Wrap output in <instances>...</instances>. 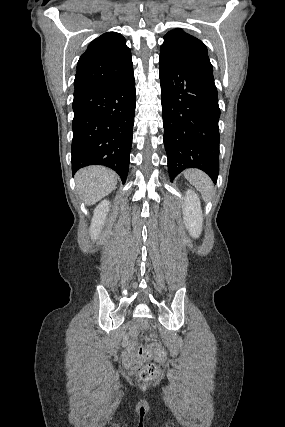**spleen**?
<instances>
[{"instance_id": "3e777b00", "label": "spleen", "mask_w": 285, "mask_h": 427, "mask_svg": "<svg viewBox=\"0 0 285 427\" xmlns=\"http://www.w3.org/2000/svg\"><path fill=\"white\" fill-rule=\"evenodd\" d=\"M184 176L201 193L204 200L210 199L213 184L204 172L197 169H189L184 172Z\"/></svg>"}]
</instances>
